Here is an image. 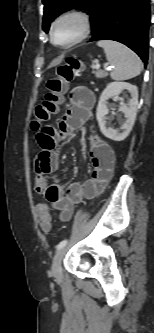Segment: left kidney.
<instances>
[{
	"instance_id": "left-kidney-1",
	"label": "left kidney",
	"mask_w": 154,
	"mask_h": 333,
	"mask_svg": "<svg viewBox=\"0 0 154 333\" xmlns=\"http://www.w3.org/2000/svg\"><path fill=\"white\" fill-rule=\"evenodd\" d=\"M127 90L131 94L130 101L126 104L120 102L119 111L126 117L125 121H121L119 129L111 127V117H107L109 113L107 100L112 97H118L123 91ZM138 109V89L135 85L127 82H111L102 92L96 111L97 121L103 135L114 141H123L131 132Z\"/></svg>"
}]
</instances>
